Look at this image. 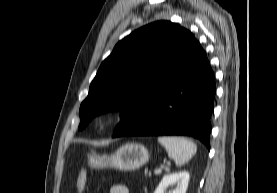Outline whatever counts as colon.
Returning <instances> with one entry per match:
<instances>
[{"mask_svg": "<svg viewBox=\"0 0 277 193\" xmlns=\"http://www.w3.org/2000/svg\"><path fill=\"white\" fill-rule=\"evenodd\" d=\"M88 173L86 170H82L77 180V192L82 193L87 183Z\"/></svg>", "mask_w": 277, "mask_h": 193, "instance_id": "1", "label": "colon"}]
</instances>
